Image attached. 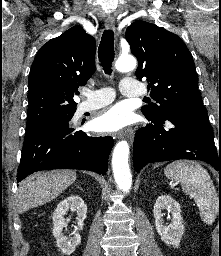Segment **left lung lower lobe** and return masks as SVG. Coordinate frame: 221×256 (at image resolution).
Masks as SVG:
<instances>
[{
    "label": "left lung lower lobe",
    "instance_id": "0a47b994",
    "mask_svg": "<svg viewBox=\"0 0 221 256\" xmlns=\"http://www.w3.org/2000/svg\"><path fill=\"white\" fill-rule=\"evenodd\" d=\"M140 128L134 139L133 162L136 171L148 163L193 159L211 164L221 174V151L215 147L207 111L173 110ZM167 121L171 128H164Z\"/></svg>",
    "mask_w": 221,
    "mask_h": 256
}]
</instances>
